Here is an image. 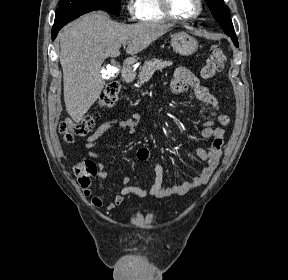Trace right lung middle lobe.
<instances>
[{
    "mask_svg": "<svg viewBox=\"0 0 288 280\" xmlns=\"http://www.w3.org/2000/svg\"><path fill=\"white\" fill-rule=\"evenodd\" d=\"M92 6L101 7L119 16L121 0H60L55 18L71 10Z\"/></svg>",
    "mask_w": 288,
    "mask_h": 280,
    "instance_id": "1",
    "label": "right lung middle lobe"
}]
</instances>
